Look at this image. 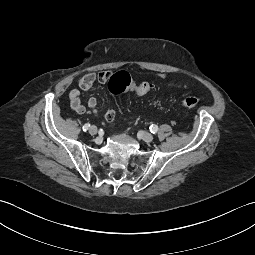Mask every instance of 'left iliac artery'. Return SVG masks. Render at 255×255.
I'll return each mask as SVG.
<instances>
[{
    "label": "left iliac artery",
    "mask_w": 255,
    "mask_h": 255,
    "mask_svg": "<svg viewBox=\"0 0 255 255\" xmlns=\"http://www.w3.org/2000/svg\"><path fill=\"white\" fill-rule=\"evenodd\" d=\"M150 131H151V133H156L158 131V126L157 125H151L150 126Z\"/></svg>",
    "instance_id": "obj_1"
}]
</instances>
